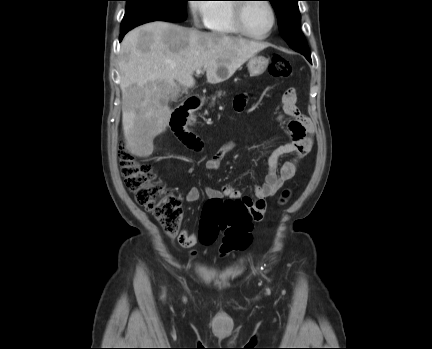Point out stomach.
Masks as SVG:
<instances>
[{"label": "stomach", "mask_w": 432, "mask_h": 349, "mask_svg": "<svg viewBox=\"0 0 432 349\" xmlns=\"http://www.w3.org/2000/svg\"><path fill=\"white\" fill-rule=\"evenodd\" d=\"M268 63V58L261 55H254L247 63L248 71L252 76L261 75L267 69Z\"/></svg>", "instance_id": "obj_1"}]
</instances>
